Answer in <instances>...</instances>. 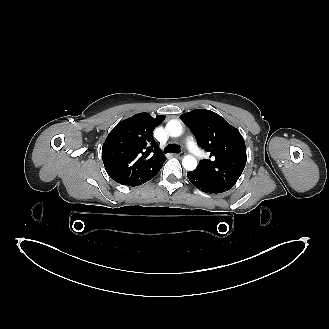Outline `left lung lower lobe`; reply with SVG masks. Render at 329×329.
<instances>
[{
    "label": "left lung lower lobe",
    "instance_id": "1",
    "mask_svg": "<svg viewBox=\"0 0 329 329\" xmlns=\"http://www.w3.org/2000/svg\"><path fill=\"white\" fill-rule=\"evenodd\" d=\"M187 176L190 180V182L196 186L199 190L205 192V193H223L226 190L214 185L202 178H200L199 176H197L196 174H194L192 171L187 173Z\"/></svg>",
    "mask_w": 329,
    "mask_h": 329
}]
</instances>
